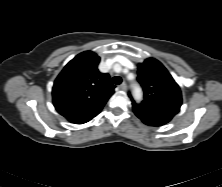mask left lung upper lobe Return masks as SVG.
Instances as JSON below:
<instances>
[{
    "instance_id": "5c2ea615",
    "label": "left lung upper lobe",
    "mask_w": 222,
    "mask_h": 187,
    "mask_svg": "<svg viewBox=\"0 0 222 187\" xmlns=\"http://www.w3.org/2000/svg\"><path fill=\"white\" fill-rule=\"evenodd\" d=\"M138 82L144 100L133 105L148 111L177 114L182 104L181 90L167 69L156 59L148 58L138 65Z\"/></svg>"
}]
</instances>
